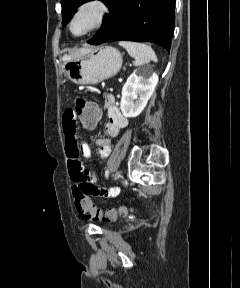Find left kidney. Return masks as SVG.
Listing matches in <instances>:
<instances>
[{
	"mask_svg": "<svg viewBox=\"0 0 240 288\" xmlns=\"http://www.w3.org/2000/svg\"><path fill=\"white\" fill-rule=\"evenodd\" d=\"M158 83V75L151 68L135 70L122 88L120 108L127 118L137 117L146 107Z\"/></svg>",
	"mask_w": 240,
	"mask_h": 288,
	"instance_id": "left-kidney-1",
	"label": "left kidney"
}]
</instances>
